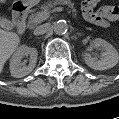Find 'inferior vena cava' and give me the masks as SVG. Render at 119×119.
I'll list each match as a JSON object with an SVG mask.
<instances>
[{"mask_svg":"<svg viewBox=\"0 0 119 119\" xmlns=\"http://www.w3.org/2000/svg\"><path fill=\"white\" fill-rule=\"evenodd\" d=\"M50 29V24L49 23H45V24H42L40 26H37L33 33L34 35H42V34H45L46 32H48Z\"/></svg>","mask_w":119,"mask_h":119,"instance_id":"1","label":"inferior vena cava"}]
</instances>
